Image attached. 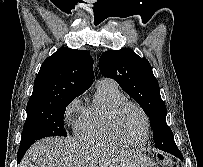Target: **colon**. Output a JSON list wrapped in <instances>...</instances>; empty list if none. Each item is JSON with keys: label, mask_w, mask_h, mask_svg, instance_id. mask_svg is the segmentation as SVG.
I'll use <instances>...</instances> for the list:
<instances>
[{"label": "colon", "mask_w": 203, "mask_h": 167, "mask_svg": "<svg viewBox=\"0 0 203 167\" xmlns=\"http://www.w3.org/2000/svg\"><path fill=\"white\" fill-rule=\"evenodd\" d=\"M157 167H177L168 157L161 156L158 160Z\"/></svg>", "instance_id": "1"}]
</instances>
